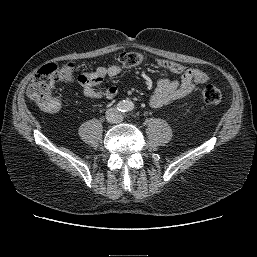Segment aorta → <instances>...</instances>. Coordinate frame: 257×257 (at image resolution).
<instances>
[{
	"label": "aorta",
	"mask_w": 257,
	"mask_h": 257,
	"mask_svg": "<svg viewBox=\"0 0 257 257\" xmlns=\"http://www.w3.org/2000/svg\"><path fill=\"white\" fill-rule=\"evenodd\" d=\"M130 107V103L129 102H124V109L128 110Z\"/></svg>",
	"instance_id": "obj_1"
}]
</instances>
